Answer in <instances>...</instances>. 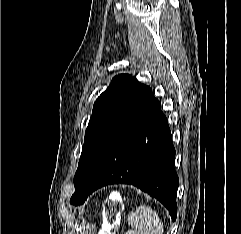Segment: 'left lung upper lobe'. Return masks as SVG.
<instances>
[{
	"label": "left lung upper lobe",
	"mask_w": 241,
	"mask_h": 234,
	"mask_svg": "<svg viewBox=\"0 0 241 234\" xmlns=\"http://www.w3.org/2000/svg\"><path fill=\"white\" fill-rule=\"evenodd\" d=\"M148 89L135 77L120 74L112 79L110 86L97 98L74 177L75 192L70 199L72 204L84 203L90 181L111 143Z\"/></svg>",
	"instance_id": "obj_1"
}]
</instances>
